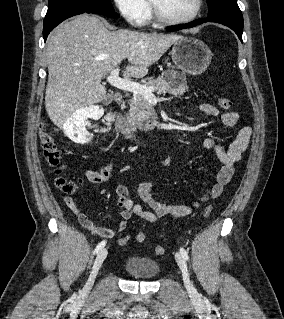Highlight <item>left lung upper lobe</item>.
<instances>
[{
	"mask_svg": "<svg viewBox=\"0 0 284 319\" xmlns=\"http://www.w3.org/2000/svg\"><path fill=\"white\" fill-rule=\"evenodd\" d=\"M207 3L209 9L208 17L231 16L243 18L236 0H207Z\"/></svg>",
	"mask_w": 284,
	"mask_h": 319,
	"instance_id": "5c2ea615",
	"label": "left lung upper lobe"
}]
</instances>
